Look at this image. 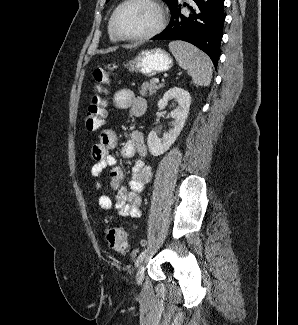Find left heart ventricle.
Instances as JSON below:
<instances>
[{"instance_id": "1", "label": "left heart ventricle", "mask_w": 298, "mask_h": 325, "mask_svg": "<svg viewBox=\"0 0 298 325\" xmlns=\"http://www.w3.org/2000/svg\"><path fill=\"white\" fill-rule=\"evenodd\" d=\"M156 23V16L151 8L133 4L123 8L116 21V27L122 37L135 38L149 31Z\"/></svg>"}]
</instances>
